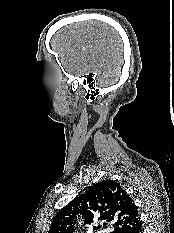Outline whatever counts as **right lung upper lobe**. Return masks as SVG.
<instances>
[{"mask_svg": "<svg viewBox=\"0 0 174 233\" xmlns=\"http://www.w3.org/2000/svg\"><path fill=\"white\" fill-rule=\"evenodd\" d=\"M79 213L86 224L113 222L112 233H133L142 224L133 200L114 180L96 183L69 202L57 213L48 233H73Z\"/></svg>", "mask_w": 174, "mask_h": 233, "instance_id": "cb5924a9", "label": "right lung upper lobe"}]
</instances>
